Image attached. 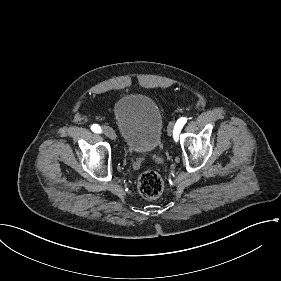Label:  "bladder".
Listing matches in <instances>:
<instances>
[{"mask_svg": "<svg viewBox=\"0 0 281 281\" xmlns=\"http://www.w3.org/2000/svg\"><path fill=\"white\" fill-rule=\"evenodd\" d=\"M113 121L124 145L140 156L152 155L162 145L163 112L144 92L120 97L112 108Z\"/></svg>", "mask_w": 281, "mask_h": 281, "instance_id": "bladder-1", "label": "bladder"}]
</instances>
